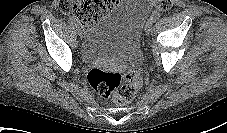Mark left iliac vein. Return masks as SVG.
<instances>
[{
  "mask_svg": "<svg viewBox=\"0 0 227 133\" xmlns=\"http://www.w3.org/2000/svg\"><path fill=\"white\" fill-rule=\"evenodd\" d=\"M153 22L149 19L145 25V33L149 34L152 30Z\"/></svg>",
  "mask_w": 227,
  "mask_h": 133,
  "instance_id": "obj_1",
  "label": "left iliac vein"
}]
</instances>
